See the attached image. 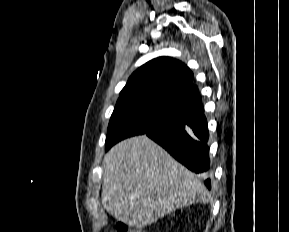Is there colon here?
Masks as SVG:
<instances>
[{"label":"colon","instance_id":"5ec220e1","mask_svg":"<svg viewBox=\"0 0 289 232\" xmlns=\"http://www.w3.org/2000/svg\"><path fill=\"white\" fill-rule=\"evenodd\" d=\"M116 229H117V232H145L137 228H131L123 221H118L116 223Z\"/></svg>","mask_w":289,"mask_h":232}]
</instances>
